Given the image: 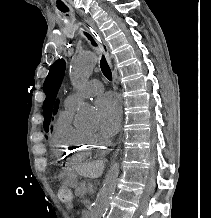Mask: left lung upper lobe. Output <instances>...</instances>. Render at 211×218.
Instances as JSON below:
<instances>
[{
  "instance_id": "5c2ea615",
  "label": "left lung upper lobe",
  "mask_w": 211,
  "mask_h": 218,
  "mask_svg": "<svg viewBox=\"0 0 211 218\" xmlns=\"http://www.w3.org/2000/svg\"><path fill=\"white\" fill-rule=\"evenodd\" d=\"M65 71V61L59 59L55 61L50 68L49 74L44 82V92L46 99L43 103L44 129L48 132L49 123L52 114L53 102L57 90L61 84Z\"/></svg>"
}]
</instances>
